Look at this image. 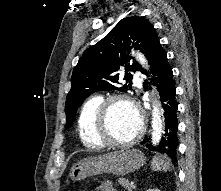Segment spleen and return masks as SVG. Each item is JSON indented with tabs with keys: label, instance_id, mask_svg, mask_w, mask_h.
Masks as SVG:
<instances>
[{
	"label": "spleen",
	"instance_id": "obj_1",
	"mask_svg": "<svg viewBox=\"0 0 221 191\" xmlns=\"http://www.w3.org/2000/svg\"><path fill=\"white\" fill-rule=\"evenodd\" d=\"M169 163L164 161L160 157H155L152 160V170L153 171H167L169 170Z\"/></svg>",
	"mask_w": 221,
	"mask_h": 191
}]
</instances>
